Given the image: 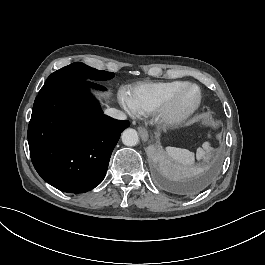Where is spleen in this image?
Instances as JSON below:
<instances>
[{
	"label": "spleen",
	"mask_w": 265,
	"mask_h": 265,
	"mask_svg": "<svg viewBox=\"0 0 265 265\" xmlns=\"http://www.w3.org/2000/svg\"><path fill=\"white\" fill-rule=\"evenodd\" d=\"M210 137V135H208ZM211 151L209 142H204L202 148L199 147L196 152V159L198 161L207 159V154ZM167 155L174 161L183 164L187 167H192L195 164V156L193 152L187 149L176 147H166Z\"/></svg>",
	"instance_id": "3e777b00"
}]
</instances>
